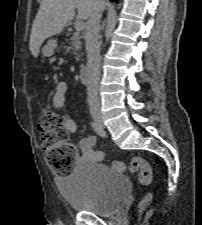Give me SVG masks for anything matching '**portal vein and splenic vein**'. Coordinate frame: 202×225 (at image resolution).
I'll return each instance as SVG.
<instances>
[{
    "label": "portal vein and splenic vein",
    "instance_id": "1",
    "mask_svg": "<svg viewBox=\"0 0 202 225\" xmlns=\"http://www.w3.org/2000/svg\"><path fill=\"white\" fill-rule=\"evenodd\" d=\"M86 24L83 21H77L75 23V30L82 31L85 28Z\"/></svg>",
    "mask_w": 202,
    "mask_h": 225
}]
</instances>
